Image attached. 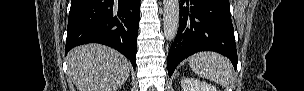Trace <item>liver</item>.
Here are the masks:
<instances>
[{
	"label": "liver",
	"instance_id": "1",
	"mask_svg": "<svg viewBox=\"0 0 304 91\" xmlns=\"http://www.w3.org/2000/svg\"><path fill=\"white\" fill-rule=\"evenodd\" d=\"M67 64L78 91H117L131 67L122 54L100 44L75 47L68 53Z\"/></svg>",
	"mask_w": 304,
	"mask_h": 91
}]
</instances>
